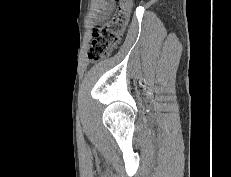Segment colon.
I'll list each match as a JSON object with an SVG mask.
<instances>
[{"instance_id": "colon-1", "label": "colon", "mask_w": 231, "mask_h": 177, "mask_svg": "<svg viewBox=\"0 0 231 177\" xmlns=\"http://www.w3.org/2000/svg\"><path fill=\"white\" fill-rule=\"evenodd\" d=\"M117 3L116 10L92 35L88 52L90 61L97 62L110 55L126 31L134 0H110Z\"/></svg>"}]
</instances>
